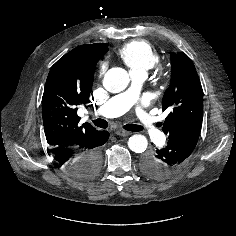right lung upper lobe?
Instances as JSON below:
<instances>
[{
  "instance_id": "cb5924a9",
  "label": "right lung upper lobe",
  "mask_w": 236,
  "mask_h": 236,
  "mask_svg": "<svg viewBox=\"0 0 236 236\" xmlns=\"http://www.w3.org/2000/svg\"><path fill=\"white\" fill-rule=\"evenodd\" d=\"M107 47L106 43L78 46L52 66L42 97L44 131L51 151L84 149L101 132L89 123L78 125L77 107L88 102L96 63Z\"/></svg>"
}]
</instances>
